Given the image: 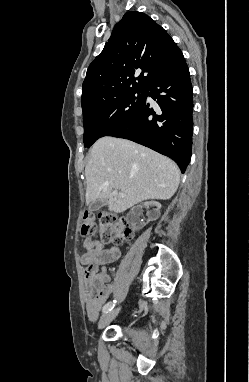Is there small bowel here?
<instances>
[{"label": "small bowel", "mask_w": 249, "mask_h": 382, "mask_svg": "<svg viewBox=\"0 0 249 382\" xmlns=\"http://www.w3.org/2000/svg\"><path fill=\"white\" fill-rule=\"evenodd\" d=\"M119 256L118 247L94 253L85 252L81 255V263L84 266L86 313L90 320L97 319L100 309L113 291L106 265L117 260Z\"/></svg>", "instance_id": "1"}]
</instances>
